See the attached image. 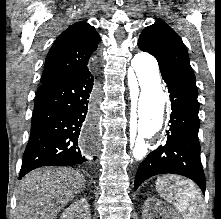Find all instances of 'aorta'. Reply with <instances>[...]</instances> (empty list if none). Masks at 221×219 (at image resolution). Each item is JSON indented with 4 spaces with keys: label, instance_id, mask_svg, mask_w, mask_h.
Instances as JSON below:
<instances>
[{
    "label": "aorta",
    "instance_id": "obj_1",
    "mask_svg": "<svg viewBox=\"0 0 221 219\" xmlns=\"http://www.w3.org/2000/svg\"><path fill=\"white\" fill-rule=\"evenodd\" d=\"M138 84L135 115V133L132 136V154L136 160L146 155L144 138H151L163 126L166 109V95L161 85L159 67L156 59L146 53L136 54L131 61Z\"/></svg>",
    "mask_w": 221,
    "mask_h": 219
}]
</instances>
